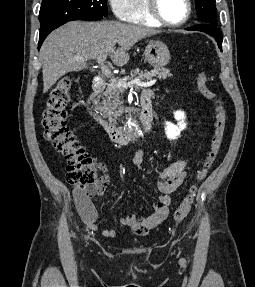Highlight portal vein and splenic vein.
Wrapping results in <instances>:
<instances>
[{"label":"portal vein and splenic vein","instance_id":"portal-vein-and-splenic-vein-1","mask_svg":"<svg viewBox=\"0 0 255 287\" xmlns=\"http://www.w3.org/2000/svg\"><path fill=\"white\" fill-rule=\"evenodd\" d=\"M80 60H82V62H87L85 58H80ZM105 60H107V54H101V56H98L97 58V64L101 66L102 74H105V76L109 78V76H113V74H111L110 70H108V68L104 66ZM112 82H114V80H112ZM156 82L157 80H150V82H140V80H131V82H127L126 84V82H121V80H119L117 88H135V86H137V88H151V86H154Z\"/></svg>","mask_w":255,"mask_h":287}]
</instances>
